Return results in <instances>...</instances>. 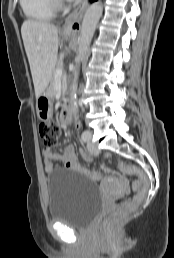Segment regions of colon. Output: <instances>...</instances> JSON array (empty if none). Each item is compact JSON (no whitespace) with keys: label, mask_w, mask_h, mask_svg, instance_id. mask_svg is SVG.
I'll use <instances>...</instances> for the list:
<instances>
[{"label":"colon","mask_w":174,"mask_h":258,"mask_svg":"<svg viewBox=\"0 0 174 258\" xmlns=\"http://www.w3.org/2000/svg\"><path fill=\"white\" fill-rule=\"evenodd\" d=\"M39 132L44 144L47 147H52L57 144L61 136L62 126L57 121L43 122L39 126ZM119 168L125 174L136 176L133 188L137 193L132 199L124 202L118 209L103 219L101 231L105 236H112L116 233L125 217L136 209L148 191L147 176L140 168L124 161L119 163Z\"/></svg>","instance_id":"1"}]
</instances>
